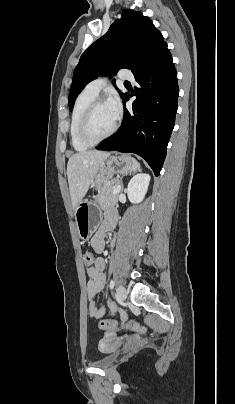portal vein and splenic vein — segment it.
Returning a JSON list of instances; mask_svg holds the SVG:
<instances>
[{
	"mask_svg": "<svg viewBox=\"0 0 235 404\" xmlns=\"http://www.w3.org/2000/svg\"><path fill=\"white\" fill-rule=\"evenodd\" d=\"M121 190V186H118L117 188L114 189L113 194L119 193Z\"/></svg>",
	"mask_w": 235,
	"mask_h": 404,
	"instance_id": "18ae733b",
	"label": "portal vein and splenic vein"
}]
</instances>
